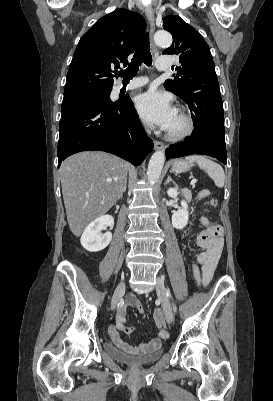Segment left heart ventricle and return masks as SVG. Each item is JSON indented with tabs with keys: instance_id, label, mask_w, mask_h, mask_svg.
<instances>
[{
	"instance_id": "b2bd125f",
	"label": "left heart ventricle",
	"mask_w": 273,
	"mask_h": 401,
	"mask_svg": "<svg viewBox=\"0 0 273 401\" xmlns=\"http://www.w3.org/2000/svg\"><path fill=\"white\" fill-rule=\"evenodd\" d=\"M184 127H185V122L182 119V117L179 115V113L177 112L168 128V131L179 132V131L183 130Z\"/></svg>"
}]
</instances>
